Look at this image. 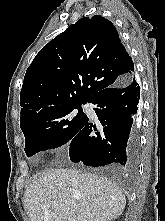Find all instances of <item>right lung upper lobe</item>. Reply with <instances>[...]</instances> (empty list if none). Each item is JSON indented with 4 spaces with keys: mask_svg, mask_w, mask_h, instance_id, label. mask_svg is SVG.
I'll use <instances>...</instances> for the list:
<instances>
[{
    "mask_svg": "<svg viewBox=\"0 0 165 221\" xmlns=\"http://www.w3.org/2000/svg\"><path fill=\"white\" fill-rule=\"evenodd\" d=\"M133 75V61L115 26L99 15L81 18L45 45L28 67L20 123L48 110L87 103Z\"/></svg>",
    "mask_w": 165,
    "mask_h": 221,
    "instance_id": "1",
    "label": "right lung upper lobe"
}]
</instances>
